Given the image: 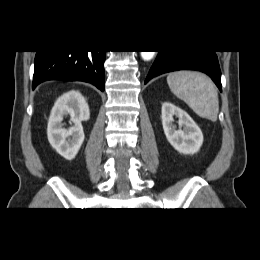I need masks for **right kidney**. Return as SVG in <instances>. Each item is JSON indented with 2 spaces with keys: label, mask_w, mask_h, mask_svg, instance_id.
<instances>
[{
  "label": "right kidney",
  "mask_w": 260,
  "mask_h": 260,
  "mask_svg": "<svg viewBox=\"0 0 260 260\" xmlns=\"http://www.w3.org/2000/svg\"><path fill=\"white\" fill-rule=\"evenodd\" d=\"M70 116L73 125L65 128L64 116ZM90 118L88 104L79 91H69L58 98L54 104L47 127L51 146L65 159L72 160L77 155L83 141L82 121Z\"/></svg>",
  "instance_id": "1"
}]
</instances>
